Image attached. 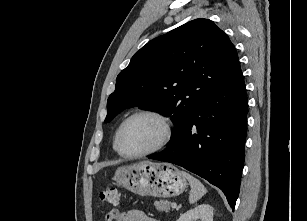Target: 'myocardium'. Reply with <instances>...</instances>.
<instances>
[{"instance_id": "obj_1", "label": "myocardium", "mask_w": 307, "mask_h": 221, "mask_svg": "<svg viewBox=\"0 0 307 221\" xmlns=\"http://www.w3.org/2000/svg\"><path fill=\"white\" fill-rule=\"evenodd\" d=\"M140 116H149V117H152L158 120L162 126L163 134L160 140L152 148L144 152H141V153L129 154V153L124 152L121 148L122 134L126 126L128 125V123L132 121L133 119L140 117ZM172 135H173V126H172L170 119L166 115H164L161 112L155 111V110H149V109L140 110V111H137L131 114L122 122V124L120 125L116 133L115 147H116V151L125 158H128V159L142 158V157L151 155L161 150L163 147H165L168 144V142L171 140Z\"/></svg>"}]
</instances>
